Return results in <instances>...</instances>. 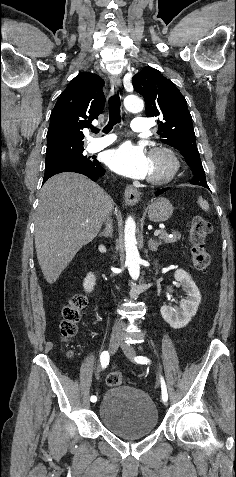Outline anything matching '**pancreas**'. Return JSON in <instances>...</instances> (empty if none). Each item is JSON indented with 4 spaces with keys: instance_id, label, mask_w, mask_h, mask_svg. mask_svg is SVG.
Segmentation results:
<instances>
[{
    "instance_id": "obj_1",
    "label": "pancreas",
    "mask_w": 236,
    "mask_h": 477,
    "mask_svg": "<svg viewBox=\"0 0 236 477\" xmlns=\"http://www.w3.org/2000/svg\"><path fill=\"white\" fill-rule=\"evenodd\" d=\"M159 238L160 240H162L163 242L165 243H175L177 242L178 240H180L181 238V235L179 232H174L172 234V236H169V234H167L166 232H162L160 235H159Z\"/></svg>"
}]
</instances>
